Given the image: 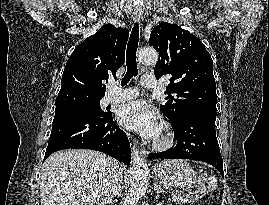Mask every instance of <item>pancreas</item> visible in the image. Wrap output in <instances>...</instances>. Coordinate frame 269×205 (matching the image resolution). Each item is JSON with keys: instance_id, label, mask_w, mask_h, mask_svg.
<instances>
[{"instance_id": "pancreas-1", "label": "pancreas", "mask_w": 269, "mask_h": 205, "mask_svg": "<svg viewBox=\"0 0 269 205\" xmlns=\"http://www.w3.org/2000/svg\"><path fill=\"white\" fill-rule=\"evenodd\" d=\"M178 201V199H176ZM181 200H183L184 202L187 201V198H182Z\"/></svg>"}]
</instances>
